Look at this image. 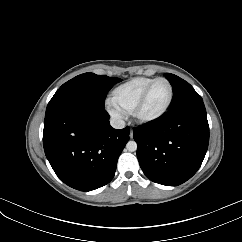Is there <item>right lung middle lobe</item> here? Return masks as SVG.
Returning <instances> with one entry per match:
<instances>
[{
	"mask_svg": "<svg viewBox=\"0 0 242 242\" xmlns=\"http://www.w3.org/2000/svg\"><path fill=\"white\" fill-rule=\"evenodd\" d=\"M120 78L96 75L88 72L64 83L48 103L46 112L64 104L88 102L104 107L106 94Z\"/></svg>",
	"mask_w": 242,
	"mask_h": 242,
	"instance_id": "obj_1",
	"label": "right lung middle lobe"
}]
</instances>
